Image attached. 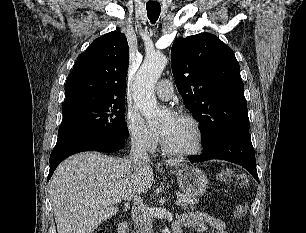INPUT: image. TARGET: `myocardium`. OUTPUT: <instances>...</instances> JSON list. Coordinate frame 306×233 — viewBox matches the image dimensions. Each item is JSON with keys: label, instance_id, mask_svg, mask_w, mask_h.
I'll list each match as a JSON object with an SVG mask.
<instances>
[{"label": "myocardium", "instance_id": "obj_1", "mask_svg": "<svg viewBox=\"0 0 306 233\" xmlns=\"http://www.w3.org/2000/svg\"><path fill=\"white\" fill-rule=\"evenodd\" d=\"M176 118L187 120L193 125L195 132H196V145L191 150L177 151V150H173L169 148L166 142L164 141V139L162 138L161 146H162L163 152H165L168 155L176 156V157H191V156H195L199 154L202 151L203 144H204V133H203V129H202V126L199 120L195 116L187 112L178 113L176 115Z\"/></svg>", "mask_w": 306, "mask_h": 233}]
</instances>
